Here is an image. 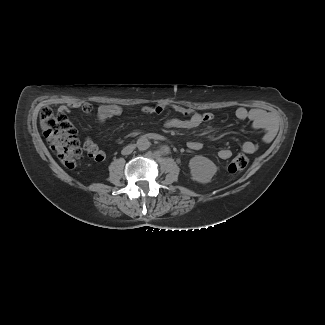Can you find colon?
<instances>
[{
	"label": "colon",
	"mask_w": 325,
	"mask_h": 325,
	"mask_svg": "<svg viewBox=\"0 0 325 325\" xmlns=\"http://www.w3.org/2000/svg\"><path fill=\"white\" fill-rule=\"evenodd\" d=\"M40 123L49 146L61 163L67 168L75 167L82 158V148L77 136L66 132L59 119L48 107L41 110ZM248 163V157L240 154L231 160L228 170L231 173L241 171L247 167Z\"/></svg>",
	"instance_id": "1"
}]
</instances>
